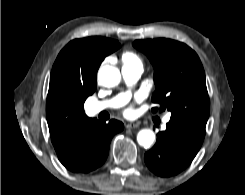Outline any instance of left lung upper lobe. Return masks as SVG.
Returning a JSON list of instances; mask_svg holds the SVG:
<instances>
[{
    "mask_svg": "<svg viewBox=\"0 0 245 195\" xmlns=\"http://www.w3.org/2000/svg\"><path fill=\"white\" fill-rule=\"evenodd\" d=\"M154 66L156 91L152 112L168 110L171 119L206 127L210 102L205 73L198 55L186 44L165 38L136 40Z\"/></svg>",
    "mask_w": 245,
    "mask_h": 195,
    "instance_id": "left-lung-upper-lobe-1",
    "label": "left lung upper lobe"
}]
</instances>
